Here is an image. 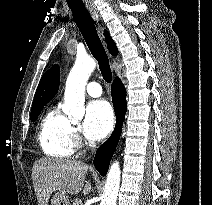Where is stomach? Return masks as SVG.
<instances>
[{
  "mask_svg": "<svg viewBox=\"0 0 212 205\" xmlns=\"http://www.w3.org/2000/svg\"><path fill=\"white\" fill-rule=\"evenodd\" d=\"M50 205H70V201L66 194L58 192L51 198Z\"/></svg>",
  "mask_w": 212,
  "mask_h": 205,
  "instance_id": "0dacf381",
  "label": "stomach"
}]
</instances>
